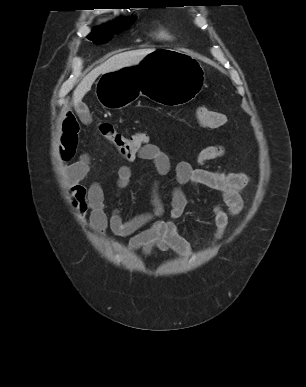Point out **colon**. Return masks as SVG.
I'll list each match as a JSON object with an SVG mask.
<instances>
[{"mask_svg":"<svg viewBox=\"0 0 306 387\" xmlns=\"http://www.w3.org/2000/svg\"><path fill=\"white\" fill-rule=\"evenodd\" d=\"M195 117L200 126L204 128H220L227 122L225 114L211 110L205 106H199L195 110ZM101 136L123 157L136 154L148 143V136L143 132H137L126 136L119 132L112 124L102 122L98 126Z\"/></svg>","mask_w":306,"mask_h":387,"instance_id":"5ec220e1","label":"colon"}]
</instances>
